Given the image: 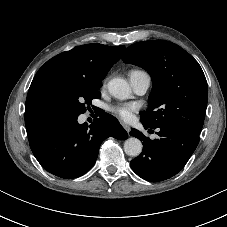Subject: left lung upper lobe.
Segmentation results:
<instances>
[{
    "instance_id": "5c2ea615",
    "label": "left lung upper lobe",
    "mask_w": 227,
    "mask_h": 227,
    "mask_svg": "<svg viewBox=\"0 0 227 227\" xmlns=\"http://www.w3.org/2000/svg\"><path fill=\"white\" fill-rule=\"evenodd\" d=\"M125 63L144 68L153 87L141 122L157 128L172 125L200 134L207 107V81L198 62L168 41H143L129 46Z\"/></svg>"
}]
</instances>
